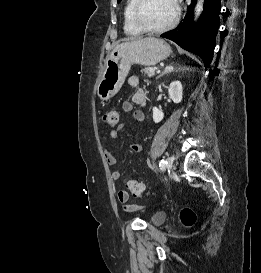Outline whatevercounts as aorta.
<instances>
[{
	"label": "aorta",
	"mask_w": 261,
	"mask_h": 273,
	"mask_svg": "<svg viewBox=\"0 0 261 273\" xmlns=\"http://www.w3.org/2000/svg\"><path fill=\"white\" fill-rule=\"evenodd\" d=\"M204 0H197V4L194 11V20L196 21L202 13Z\"/></svg>",
	"instance_id": "aorta-1"
}]
</instances>
